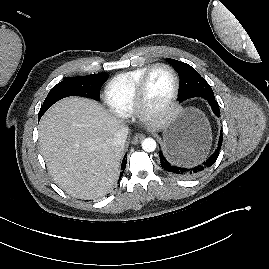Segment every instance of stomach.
I'll return each mask as SVG.
<instances>
[{"label": "stomach", "instance_id": "1", "mask_svg": "<svg viewBox=\"0 0 269 269\" xmlns=\"http://www.w3.org/2000/svg\"><path fill=\"white\" fill-rule=\"evenodd\" d=\"M163 130L164 152L181 163H198L209 148V124L198 109H176Z\"/></svg>", "mask_w": 269, "mask_h": 269}]
</instances>
